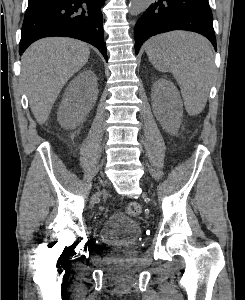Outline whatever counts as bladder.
Masks as SVG:
<instances>
[{"mask_svg": "<svg viewBox=\"0 0 245 300\" xmlns=\"http://www.w3.org/2000/svg\"><path fill=\"white\" fill-rule=\"evenodd\" d=\"M140 234V223L122 214L110 216L99 229L100 240L108 245L132 244L137 241Z\"/></svg>", "mask_w": 245, "mask_h": 300, "instance_id": "bladder-1", "label": "bladder"}]
</instances>
